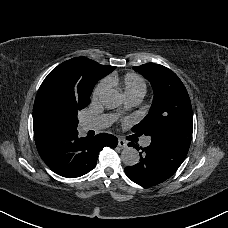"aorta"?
Here are the masks:
<instances>
[{
    "instance_id": "762f6f07",
    "label": "aorta",
    "mask_w": 228,
    "mask_h": 228,
    "mask_svg": "<svg viewBox=\"0 0 228 228\" xmlns=\"http://www.w3.org/2000/svg\"><path fill=\"white\" fill-rule=\"evenodd\" d=\"M100 101L107 109H114L122 104V95L114 88H106L100 94ZM122 162L126 166H134L139 162V153L135 148L126 147L121 152Z\"/></svg>"
}]
</instances>
